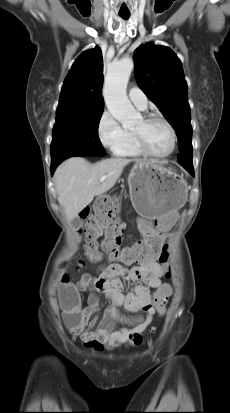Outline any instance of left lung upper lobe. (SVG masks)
Returning a JSON list of instances; mask_svg holds the SVG:
<instances>
[{"label":"left lung upper lobe","instance_id":"5c2ea615","mask_svg":"<svg viewBox=\"0 0 230 413\" xmlns=\"http://www.w3.org/2000/svg\"><path fill=\"white\" fill-rule=\"evenodd\" d=\"M133 57L140 88L177 133L179 164L193 166L188 87L180 60L170 48L151 44L138 47Z\"/></svg>","mask_w":230,"mask_h":413}]
</instances>
